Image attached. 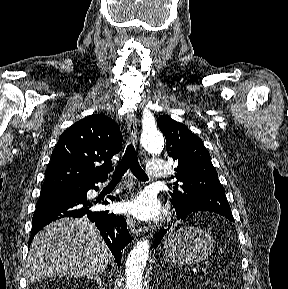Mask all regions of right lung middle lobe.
<instances>
[{"instance_id": "obj_1", "label": "right lung middle lobe", "mask_w": 288, "mask_h": 289, "mask_svg": "<svg viewBox=\"0 0 288 289\" xmlns=\"http://www.w3.org/2000/svg\"><path fill=\"white\" fill-rule=\"evenodd\" d=\"M78 188L63 189V190H41L40 196H54L65 192H75Z\"/></svg>"}]
</instances>
